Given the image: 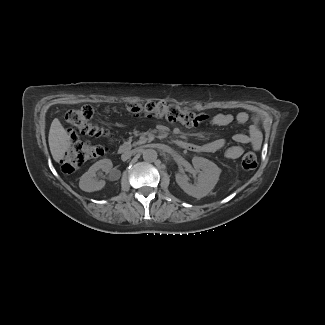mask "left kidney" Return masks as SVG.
<instances>
[{"instance_id": "5707ae66", "label": "left kidney", "mask_w": 325, "mask_h": 325, "mask_svg": "<svg viewBox=\"0 0 325 325\" xmlns=\"http://www.w3.org/2000/svg\"><path fill=\"white\" fill-rule=\"evenodd\" d=\"M192 164L196 170H199L197 183H189L187 176L181 173L176 174V182L188 195L202 198L214 189L219 180L221 169L215 163L203 157H193Z\"/></svg>"}]
</instances>
